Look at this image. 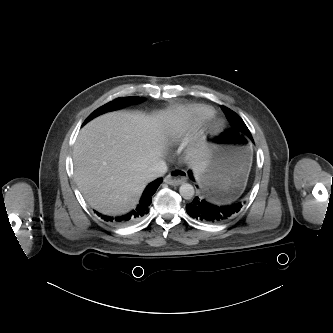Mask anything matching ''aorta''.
<instances>
[{"label":"aorta","mask_w":333,"mask_h":333,"mask_svg":"<svg viewBox=\"0 0 333 333\" xmlns=\"http://www.w3.org/2000/svg\"><path fill=\"white\" fill-rule=\"evenodd\" d=\"M180 195L186 199L189 200L194 196V187L189 183H184L179 188Z\"/></svg>","instance_id":"762f6f07"}]
</instances>
